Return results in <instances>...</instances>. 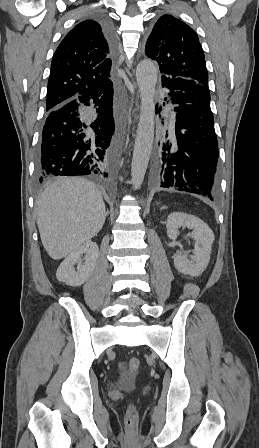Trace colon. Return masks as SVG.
<instances>
[{"label": "colon", "instance_id": "colon-1", "mask_svg": "<svg viewBox=\"0 0 259 448\" xmlns=\"http://www.w3.org/2000/svg\"><path fill=\"white\" fill-rule=\"evenodd\" d=\"M140 367V360L137 357H132L128 362V370L136 372ZM137 422V410L134 405H130L126 413L127 427L133 431Z\"/></svg>", "mask_w": 259, "mask_h": 448}]
</instances>
